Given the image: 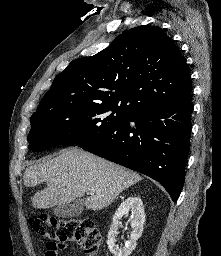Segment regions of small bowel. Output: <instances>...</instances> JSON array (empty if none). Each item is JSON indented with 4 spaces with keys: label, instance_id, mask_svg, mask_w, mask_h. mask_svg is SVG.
Segmentation results:
<instances>
[{
    "label": "small bowel",
    "instance_id": "small-bowel-1",
    "mask_svg": "<svg viewBox=\"0 0 221 256\" xmlns=\"http://www.w3.org/2000/svg\"><path fill=\"white\" fill-rule=\"evenodd\" d=\"M46 256H57V255L50 254V253L47 251V252H46Z\"/></svg>",
    "mask_w": 221,
    "mask_h": 256
}]
</instances>
